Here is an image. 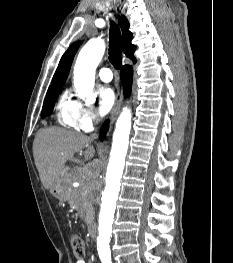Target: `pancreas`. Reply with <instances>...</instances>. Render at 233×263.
<instances>
[{
    "label": "pancreas",
    "instance_id": "pancreas-1",
    "mask_svg": "<svg viewBox=\"0 0 233 263\" xmlns=\"http://www.w3.org/2000/svg\"><path fill=\"white\" fill-rule=\"evenodd\" d=\"M72 181L74 179H68L69 183ZM67 200L70 206H74L76 210L84 212V220L89 224L93 218V208L89 198L82 192L81 188H71L68 191Z\"/></svg>",
    "mask_w": 233,
    "mask_h": 263
}]
</instances>
